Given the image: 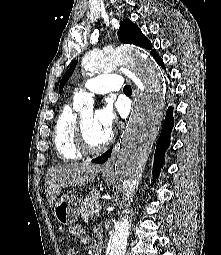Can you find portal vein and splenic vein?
I'll return each mask as SVG.
<instances>
[{
  "label": "portal vein and splenic vein",
  "mask_w": 221,
  "mask_h": 255,
  "mask_svg": "<svg viewBox=\"0 0 221 255\" xmlns=\"http://www.w3.org/2000/svg\"><path fill=\"white\" fill-rule=\"evenodd\" d=\"M101 209H102V205L96 204V206H95V213H99L101 211Z\"/></svg>",
  "instance_id": "1"
}]
</instances>
